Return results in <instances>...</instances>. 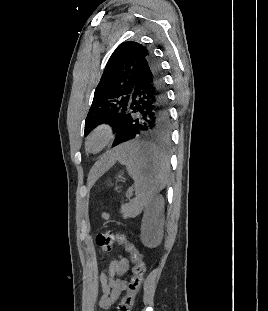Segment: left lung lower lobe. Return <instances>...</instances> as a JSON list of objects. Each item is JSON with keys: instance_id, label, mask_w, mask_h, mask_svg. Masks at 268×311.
Instances as JSON below:
<instances>
[{"instance_id": "0a47b994", "label": "left lung lower lobe", "mask_w": 268, "mask_h": 311, "mask_svg": "<svg viewBox=\"0 0 268 311\" xmlns=\"http://www.w3.org/2000/svg\"><path fill=\"white\" fill-rule=\"evenodd\" d=\"M170 115L161 66L151 54L140 64L131 101L112 147L122 140L167 141Z\"/></svg>"}]
</instances>
